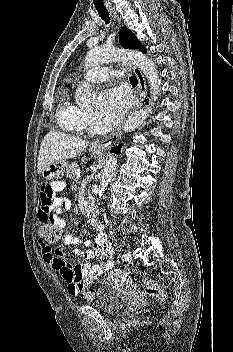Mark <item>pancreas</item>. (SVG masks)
I'll use <instances>...</instances> for the list:
<instances>
[{
  "label": "pancreas",
  "mask_w": 233,
  "mask_h": 352,
  "mask_svg": "<svg viewBox=\"0 0 233 352\" xmlns=\"http://www.w3.org/2000/svg\"><path fill=\"white\" fill-rule=\"evenodd\" d=\"M76 169H77V164H76V163H74V164H72V165H69V166L67 167V169H66V175H67V177L73 179L74 176H75V171H76Z\"/></svg>",
  "instance_id": "pancreas-1"
}]
</instances>
